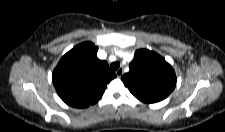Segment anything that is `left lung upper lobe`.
<instances>
[{
	"label": "left lung upper lobe",
	"mask_w": 225,
	"mask_h": 132,
	"mask_svg": "<svg viewBox=\"0 0 225 132\" xmlns=\"http://www.w3.org/2000/svg\"><path fill=\"white\" fill-rule=\"evenodd\" d=\"M121 77L124 85L140 101L156 103L165 99L176 86V75L169 63L157 53L140 49Z\"/></svg>",
	"instance_id": "1"
}]
</instances>
